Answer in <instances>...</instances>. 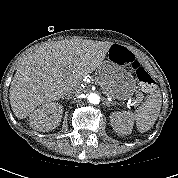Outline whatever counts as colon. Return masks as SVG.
Listing matches in <instances>:
<instances>
[{
    "label": "colon",
    "instance_id": "1",
    "mask_svg": "<svg viewBox=\"0 0 178 178\" xmlns=\"http://www.w3.org/2000/svg\"><path fill=\"white\" fill-rule=\"evenodd\" d=\"M131 65L136 72L137 79L144 92H151L154 88V81L148 72L140 66V64L134 59L131 61Z\"/></svg>",
    "mask_w": 178,
    "mask_h": 178
}]
</instances>
